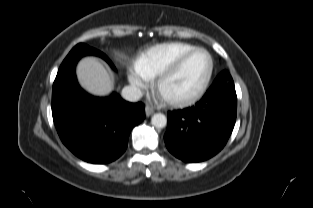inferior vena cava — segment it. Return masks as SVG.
Listing matches in <instances>:
<instances>
[{"label": "inferior vena cava", "instance_id": "1", "mask_svg": "<svg viewBox=\"0 0 313 208\" xmlns=\"http://www.w3.org/2000/svg\"><path fill=\"white\" fill-rule=\"evenodd\" d=\"M122 97L127 101L135 102L142 97V91L136 86H126L122 90Z\"/></svg>", "mask_w": 313, "mask_h": 208}]
</instances>
